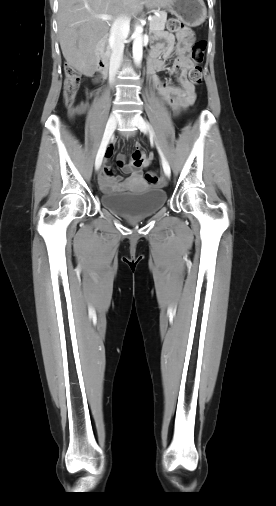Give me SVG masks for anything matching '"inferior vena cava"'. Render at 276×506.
<instances>
[{"instance_id":"1","label":"inferior vena cava","mask_w":276,"mask_h":506,"mask_svg":"<svg viewBox=\"0 0 276 506\" xmlns=\"http://www.w3.org/2000/svg\"><path fill=\"white\" fill-rule=\"evenodd\" d=\"M130 27V18L128 16L118 17L111 26L109 44L111 47L109 77L113 81L118 70L121 67L124 42Z\"/></svg>"}]
</instances>
